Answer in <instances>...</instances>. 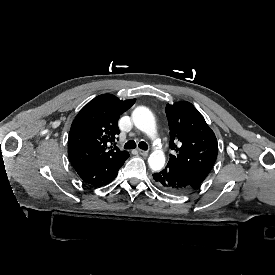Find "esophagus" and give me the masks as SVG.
I'll return each mask as SVG.
<instances>
[{"label": "esophagus", "instance_id": "obj_1", "mask_svg": "<svg viewBox=\"0 0 275 275\" xmlns=\"http://www.w3.org/2000/svg\"><path fill=\"white\" fill-rule=\"evenodd\" d=\"M138 152H139V154H141L142 156H145V157L148 156V152H147V151L138 149Z\"/></svg>", "mask_w": 275, "mask_h": 275}]
</instances>
